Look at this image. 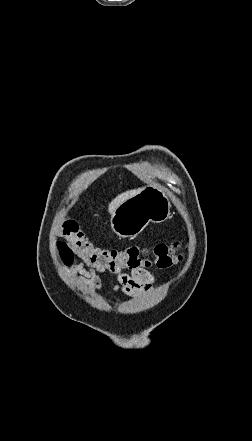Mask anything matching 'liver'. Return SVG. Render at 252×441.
<instances>
[{
  "instance_id": "1",
  "label": "liver",
  "mask_w": 252,
  "mask_h": 441,
  "mask_svg": "<svg viewBox=\"0 0 252 441\" xmlns=\"http://www.w3.org/2000/svg\"><path fill=\"white\" fill-rule=\"evenodd\" d=\"M140 191V189H134V190H129L126 191L124 193H121L120 195H118L116 198H114L111 203H109L108 205V211L109 213H113L115 211V209L121 204L123 203L125 200H127L128 198L134 196L135 194H137Z\"/></svg>"
}]
</instances>
